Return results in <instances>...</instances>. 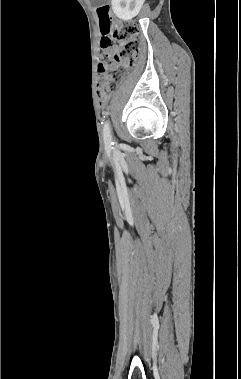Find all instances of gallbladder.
Returning a JSON list of instances; mask_svg holds the SVG:
<instances>
[{"instance_id":"obj_1","label":"gallbladder","mask_w":241,"mask_h":379,"mask_svg":"<svg viewBox=\"0 0 241 379\" xmlns=\"http://www.w3.org/2000/svg\"><path fill=\"white\" fill-rule=\"evenodd\" d=\"M99 0H95V3H97Z\"/></svg>"}]
</instances>
